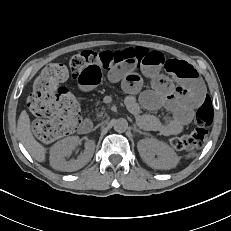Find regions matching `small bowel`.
<instances>
[{
  "mask_svg": "<svg viewBox=\"0 0 231 231\" xmlns=\"http://www.w3.org/2000/svg\"><path fill=\"white\" fill-rule=\"evenodd\" d=\"M152 53L156 57L148 59L144 64H122L113 68L107 78L110 82H121L123 90L130 94L126 105L143 128L164 135H175L191 121L194 109L204 100L205 87L198 72L187 62L166 59L158 52ZM135 68L141 69L143 75L151 80V89L143 91L139 101L134 94L141 91L143 78ZM162 70L173 76L178 84L174 85L168 77L162 75ZM102 77L100 67L89 66L77 80L80 88L88 91L95 88ZM141 107L148 111L164 107L172 115L160 120L151 114H141Z\"/></svg>",
  "mask_w": 231,
  "mask_h": 231,
  "instance_id": "1",
  "label": "small bowel"
}]
</instances>
